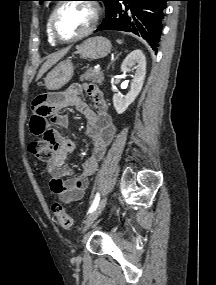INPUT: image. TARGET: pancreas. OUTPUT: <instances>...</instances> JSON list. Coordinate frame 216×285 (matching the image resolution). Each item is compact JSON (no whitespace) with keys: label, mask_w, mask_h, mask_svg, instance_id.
I'll use <instances>...</instances> for the list:
<instances>
[{"label":"pancreas","mask_w":216,"mask_h":285,"mask_svg":"<svg viewBox=\"0 0 216 285\" xmlns=\"http://www.w3.org/2000/svg\"><path fill=\"white\" fill-rule=\"evenodd\" d=\"M80 81H89L101 85L104 81V73L102 71L94 72V70L88 69L80 76Z\"/></svg>","instance_id":"1"}]
</instances>
